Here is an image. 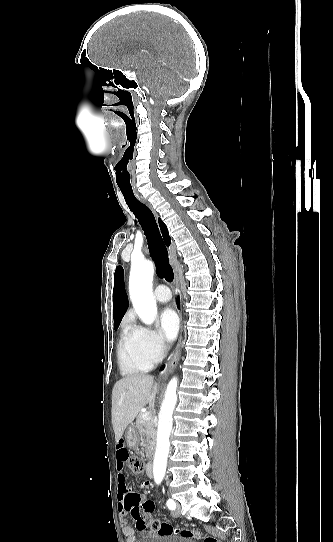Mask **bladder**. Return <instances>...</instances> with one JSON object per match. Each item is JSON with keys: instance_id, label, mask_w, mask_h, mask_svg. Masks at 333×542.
I'll use <instances>...</instances> for the list:
<instances>
[{"instance_id": "obj_1", "label": "bladder", "mask_w": 333, "mask_h": 542, "mask_svg": "<svg viewBox=\"0 0 333 542\" xmlns=\"http://www.w3.org/2000/svg\"><path fill=\"white\" fill-rule=\"evenodd\" d=\"M147 538L146 540H142V542H196L184 535H151Z\"/></svg>"}]
</instances>
